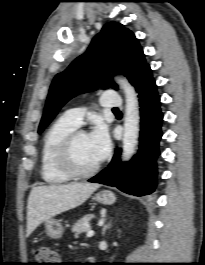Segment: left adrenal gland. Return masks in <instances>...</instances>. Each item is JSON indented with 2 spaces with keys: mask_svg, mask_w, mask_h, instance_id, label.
<instances>
[{
  "mask_svg": "<svg viewBox=\"0 0 205 265\" xmlns=\"http://www.w3.org/2000/svg\"><path fill=\"white\" fill-rule=\"evenodd\" d=\"M110 228V224L105 226V229Z\"/></svg>",
  "mask_w": 205,
  "mask_h": 265,
  "instance_id": "obj_1",
  "label": "left adrenal gland"
}]
</instances>
